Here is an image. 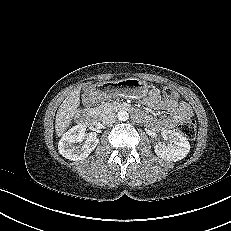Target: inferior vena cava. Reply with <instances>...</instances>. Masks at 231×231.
I'll return each mask as SVG.
<instances>
[{"mask_svg": "<svg viewBox=\"0 0 231 231\" xmlns=\"http://www.w3.org/2000/svg\"><path fill=\"white\" fill-rule=\"evenodd\" d=\"M116 118H117L116 114L109 113V114H105L101 120L104 125L109 126V125H112L116 121Z\"/></svg>", "mask_w": 231, "mask_h": 231, "instance_id": "1", "label": "inferior vena cava"}]
</instances>
